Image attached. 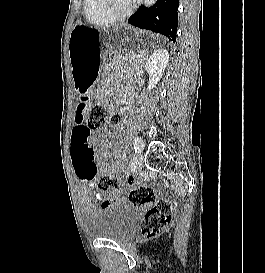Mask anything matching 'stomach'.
I'll use <instances>...</instances> for the list:
<instances>
[{
  "instance_id": "0dacf381",
  "label": "stomach",
  "mask_w": 265,
  "mask_h": 273,
  "mask_svg": "<svg viewBox=\"0 0 265 273\" xmlns=\"http://www.w3.org/2000/svg\"><path fill=\"white\" fill-rule=\"evenodd\" d=\"M147 35V30L120 26L101 29L76 24L69 36V58L77 88L91 87L96 78H107L118 64H135L140 56H150L145 49H158L163 40ZM84 93V92H83Z\"/></svg>"
}]
</instances>
